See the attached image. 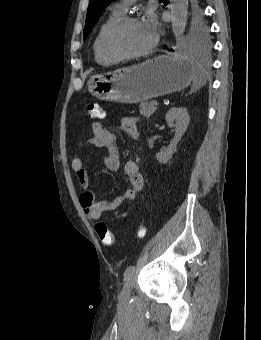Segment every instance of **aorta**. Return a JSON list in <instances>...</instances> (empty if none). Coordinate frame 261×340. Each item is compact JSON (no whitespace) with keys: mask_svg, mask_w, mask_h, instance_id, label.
<instances>
[{"mask_svg":"<svg viewBox=\"0 0 261 340\" xmlns=\"http://www.w3.org/2000/svg\"><path fill=\"white\" fill-rule=\"evenodd\" d=\"M172 31L179 37L185 29L188 14V0H170Z\"/></svg>","mask_w":261,"mask_h":340,"instance_id":"obj_1","label":"aorta"}]
</instances>
